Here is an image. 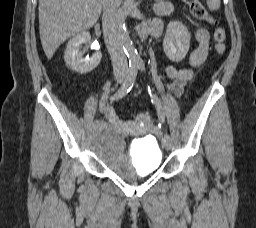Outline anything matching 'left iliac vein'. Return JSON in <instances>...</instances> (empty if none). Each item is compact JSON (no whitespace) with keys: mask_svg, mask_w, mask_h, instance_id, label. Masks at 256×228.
I'll list each match as a JSON object with an SVG mask.
<instances>
[{"mask_svg":"<svg viewBox=\"0 0 256 228\" xmlns=\"http://www.w3.org/2000/svg\"><path fill=\"white\" fill-rule=\"evenodd\" d=\"M162 144L166 150H170L172 145L170 137L164 135V137L162 138Z\"/></svg>","mask_w":256,"mask_h":228,"instance_id":"1","label":"left iliac vein"}]
</instances>
